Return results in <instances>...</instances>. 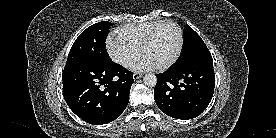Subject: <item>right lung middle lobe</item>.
Returning <instances> with one entry per match:
<instances>
[{"label":"right lung middle lobe","mask_w":276,"mask_h":138,"mask_svg":"<svg viewBox=\"0 0 276 138\" xmlns=\"http://www.w3.org/2000/svg\"><path fill=\"white\" fill-rule=\"evenodd\" d=\"M111 26L110 22L102 21L85 29L71 47L66 64L77 61L110 62L105 41Z\"/></svg>","instance_id":"right-lung-middle-lobe-1"}]
</instances>
